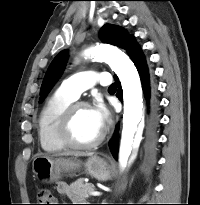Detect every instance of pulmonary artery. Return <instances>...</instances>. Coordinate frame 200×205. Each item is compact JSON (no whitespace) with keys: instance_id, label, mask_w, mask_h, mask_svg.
<instances>
[{"instance_id":"1","label":"pulmonary artery","mask_w":200,"mask_h":205,"mask_svg":"<svg viewBox=\"0 0 200 205\" xmlns=\"http://www.w3.org/2000/svg\"><path fill=\"white\" fill-rule=\"evenodd\" d=\"M100 84L108 86L111 84V76L108 72L84 71L65 79L60 90L77 99L81 93L92 86Z\"/></svg>"}]
</instances>
